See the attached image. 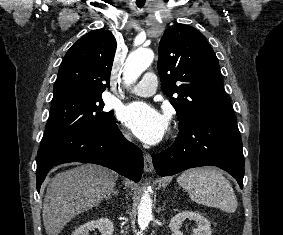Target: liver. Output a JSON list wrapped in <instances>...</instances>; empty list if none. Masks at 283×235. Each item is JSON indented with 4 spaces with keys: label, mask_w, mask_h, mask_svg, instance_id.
<instances>
[{
    "label": "liver",
    "mask_w": 283,
    "mask_h": 235,
    "mask_svg": "<svg viewBox=\"0 0 283 235\" xmlns=\"http://www.w3.org/2000/svg\"><path fill=\"white\" fill-rule=\"evenodd\" d=\"M118 175L105 167L82 164L58 173L47 187L43 223L47 235H58L76 215L109 196Z\"/></svg>",
    "instance_id": "liver-1"
}]
</instances>
